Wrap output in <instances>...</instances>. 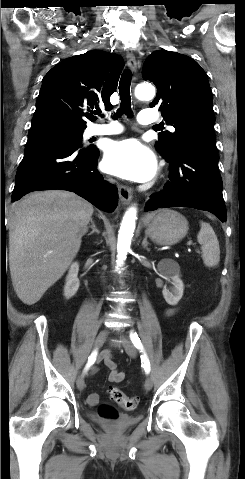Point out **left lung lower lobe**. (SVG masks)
<instances>
[{
	"instance_id": "obj_1",
	"label": "left lung lower lobe",
	"mask_w": 245,
	"mask_h": 479,
	"mask_svg": "<svg viewBox=\"0 0 245 479\" xmlns=\"http://www.w3.org/2000/svg\"><path fill=\"white\" fill-rule=\"evenodd\" d=\"M216 145L199 143L180 150L170 164V181L162 191L151 195L145 210L166 207H191L227 220L218 169Z\"/></svg>"
}]
</instances>
